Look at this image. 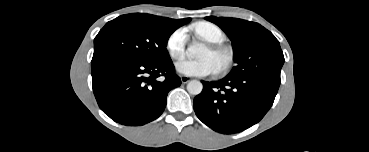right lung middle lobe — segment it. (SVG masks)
<instances>
[{"label":"right lung middle lobe","mask_w":369,"mask_h":152,"mask_svg":"<svg viewBox=\"0 0 369 152\" xmlns=\"http://www.w3.org/2000/svg\"><path fill=\"white\" fill-rule=\"evenodd\" d=\"M176 29L139 13L119 16L108 22L95 37L91 66L112 59L145 63L169 59L167 41Z\"/></svg>","instance_id":"1"}]
</instances>
